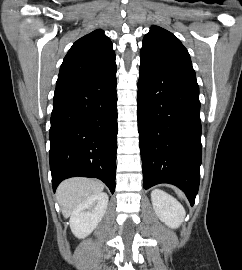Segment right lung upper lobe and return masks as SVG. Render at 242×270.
I'll list each match as a JSON object with an SVG mask.
<instances>
[{
    "label": "right lung upper lobe",
    "mask_w": 242,
    "mask_h": 270,
    "mask_svg": "<svg viewBox=\"0 0 242 270\" xmlns=\"http://www.w3.org/2000/svg\"><path fill=\"white\" fill-rule=\"evenodd\" d=\"M115 64L112 42L97 29L77 40L60 67L55 91L76 85Z\"/></svg>",
    "instance_id": "cb5924a9"
}]
</instances>
